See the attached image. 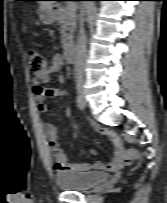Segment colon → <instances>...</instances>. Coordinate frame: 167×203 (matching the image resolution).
I'll list each match as a JSON object with an SVG mask.
<instances>
[{"label": "colon", "mask_w": 167, "mask_h": 203, "mask_svg": "<svg viewBox=\"0 0 167 203\" xmlns=\"http://www.w3.org/2000/svg\"><path fill=\"white\" fill-rule=\"evenodd\" d=\"M28 61L31 72L36 75L45 72L49 65L48 58L35 48H30L28 50ZM138 159V151L133 149L123 150V161L126 164H130Z\"/></svg>", "instance_id": "colon-1"}]
</instances>
